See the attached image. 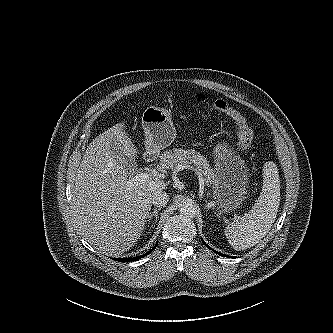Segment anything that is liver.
<instances>
[{
  "mask_svg": "<svg viewBox=\"0 0 333 333\" xmlns=\"http://www.w3.org/2000/svg\"><path fill=\"white\" fill-rule=\"evenodd\" d=\"M124 123L97 136L86 149L77 170L72 209L78 232L101 253L120 256L144 230L152 196L167 188L158 178L129 184L126 168L113 153V142L135 160L137 149Z\"/></svg>",
  "mask_w": 333,
  "mask_h": 333,
  "instance_id": "1",
  "label": "liver"
}]
</instances>
